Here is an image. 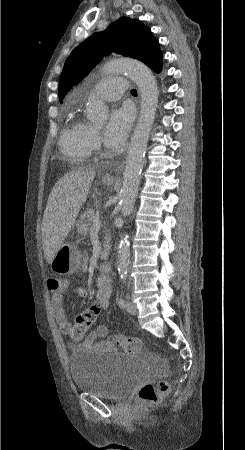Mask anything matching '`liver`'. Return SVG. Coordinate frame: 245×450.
<instances>
[{"mask_svg": "<svg viewBox=\"0 0 245 450\" xmlns=\"http://www.w3.org/2000/svg\"><path fill=\"white\" fill-rule=\"evenodd\" d=\"M95 176V169L81 167L65 174L53 186L42 220L43 250L49 264L74 226Z\"/></svg>", "mask_w": 245, "mask_h": 450, "instance_id": "liver-1", "label": "liver"}]
</instances>
